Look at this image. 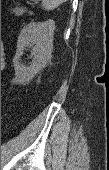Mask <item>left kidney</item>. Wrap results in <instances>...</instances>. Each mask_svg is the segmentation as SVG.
<instances>
[{"instance_id":"left-kidney-1","label":"left kidney","mask_w":109,"mask_h":170,"mask_svg":"<svg viewBox=\"0 0 109 170\" xmlns=\"http://www.w3.org/2000/svg\"><path fill=\"white\" fill-rule=\"evenodd\" d=\"M54 22L49 20L45 22H32L23 31L19 41L18 52L15 56V68L20 73L36 71L41 68L48 59L53 44ZM27 41H33L36 47L33 49L35 54L34 61L30 67H26L21 62V52Z\"/></svg>"}]
</instances>
